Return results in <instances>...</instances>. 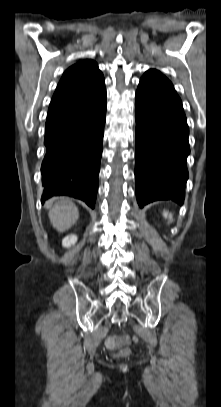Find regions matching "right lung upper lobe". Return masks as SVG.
<instances>
[{
  "instance_id": "right-lung-upper-lobe-1",
  "label": "right lung upper lobe",
  "mask_w": 221,
  "mask_h": 407,
  "mask_svg": "<svg viewBox=\"0 0 221 407\" xmlns=\"http://www.w3.org/2000/svg\"><path fill=\"white\" fill-rule=\"evenodd\" d=\"M104 87V77L96 62L77 63L64 72L49 108L84 99Z\"/></svg>"
}]
</instances>
